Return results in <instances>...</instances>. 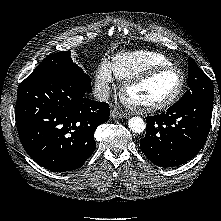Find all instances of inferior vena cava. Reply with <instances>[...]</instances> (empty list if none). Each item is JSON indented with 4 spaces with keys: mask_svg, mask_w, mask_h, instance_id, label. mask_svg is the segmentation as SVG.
Masks as SVG:
<instances>
[{
    "mask_svg": "<svg viewBox=\"0 0 221 221\" xmlns=\"http://www.w3.org/2000/svg\"><path fill=\"white\" fill-rule=\"evenodd\" d=\"M94 97L98 101L106 102L110 97V87L108 84H102L94 90Z\"/></svg>",
    "mask_w": 221,
    "mask_h": 221,
    "instance_id": "1",
    "label": "inferior vena cava"
}]
</instances>
